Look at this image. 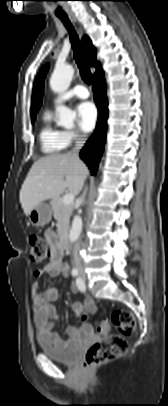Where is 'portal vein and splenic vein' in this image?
Returning <instances> with one entry per match:
<instances>
[{
  "mask_svg": "<svg viewBox=\"0 0 168 406\" xmlns=\"http://www.w3.org/2000/svg\"><path fill=\"white\" fill-rule=\"evenodd\" d=\"M74 198H75L74 194L69 193L63 197L62 202H63V204H72L74 201Z\"/></svg>",
  "mask_w": 168,
  "mask_h": 406,
  "instance_id": "18ae733b",
  "label": "portal vein and splenic vein"
}]
</instances>
